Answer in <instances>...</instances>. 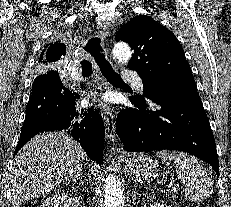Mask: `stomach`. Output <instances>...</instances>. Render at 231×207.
<instances>
[{
  "label": "stomach",
  "instance_id": "obj_1",
  "mask_svg": "<svg viewBox=\"0 0 231 207\" xmlns=\"http://www.w3.org/2000/svg\"><path fill=\"white\" fill-rule=\"evenodd\" d=\"M123 167L129 178L136 182L149 183L158 176L157 163L145 154L126 157Z\"/></svg>",
  "mask_w": 231,
  "mask_h": 207
}]
</instances>
